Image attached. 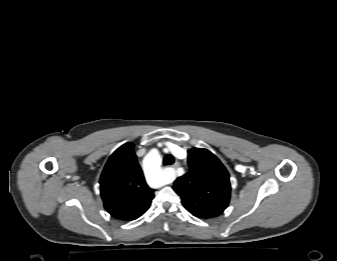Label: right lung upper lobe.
I'll list each match as a JSON object with an SVG mask.
<instances>
[{"mask_svg":"<svg viewBox=\"0 0 337 261\" xmlns=\"http://www.w3.org/2000/svg\"><path fill=\"white\" fill-rule=\"evenodd\" d=\"M125 143L108 159L100 178V191L105 209L112 217L131 221L150 207L154 190L150 189L133 151Z\"/></svg>","mask_w":337,"mask_h":261,"instance_id":"1","label":"right lung upper lobe"}]
</instances>
